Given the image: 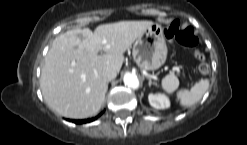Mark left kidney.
<instances>
[{"instance_id":"obj_1","label":"left kidney","mask_w":247,"mask_h":145,"mask_svg":"<svg viewBox=\"0 0 247 145\" xmlns=\"http://www.w3.org/2000/svg\"><path fill=\"white\" fill-rule=\"evenodd\" d=\"M148 100L150 105L156 109H166L170 106V101L164 94H149Z\"/></svg>"}]
</instances>
